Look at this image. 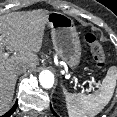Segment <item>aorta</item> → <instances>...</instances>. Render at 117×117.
<instances>
[{"label": "aorta", "mask_w": 117, "mask_h": 117, "mask_svg": "<svg viewBox=\"0 0 117 117\" xmlns=\"http://www.w3.org/2000/svg\"><path fill=\"white\" fill-rule=\"evenodd\" d=\"M39 82L43 88L50 89L54 84V75L48 70L42 71L39 74Z\"/></svg>", "instance_id": "762f6f07"}]
</instances>
